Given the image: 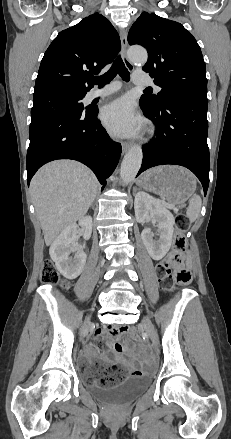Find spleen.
I'll return each instance as SVG.
<instances>
[{"label":"spleen","instance_id":"3e777b00","mask_svg":"<svg viewBox=\"0 0 231 439\" xmlns=\"http://www.w3.org/2000/svg\"><path fill=\"white\" fill-rule=\"evenodd\" d=\"M201 204H202V201H201L200 196L194 195L191 198V200L189 202V207H188L187 212H186V216L189 218V220L191 222L195 221L198 218V216L200 214V210H201Z\"/></svg>","mask_w":231,"mask_h":439}]
</instances>
